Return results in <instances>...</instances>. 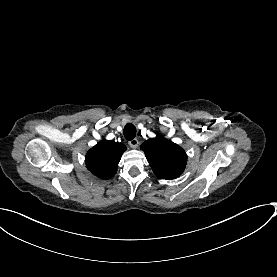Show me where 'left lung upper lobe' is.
<instances>
[{"label": "left lung upper lobe", "instance_id": "left-lung-upper-lobe-1", "mask_svg": "<svg viewBox=\"0 0 277 277\" xmlns=\"http://www.w3.org/2000/svg\"><path fill=\"white\" fill-rule=\"evenodd\" d=\"M141 149L158 178L175 179L184 172L187 162L185 151L162 135L146 140Z\"/></svg>", "mask_w": 277, "mask_h": 277}]
</instances>
